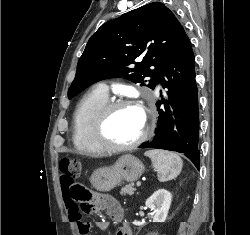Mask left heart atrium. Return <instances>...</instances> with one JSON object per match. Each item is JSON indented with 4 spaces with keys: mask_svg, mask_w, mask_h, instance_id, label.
Segmentation results:
<instances>
[{
    "mask_svg": "<svg viewBox=\"0 0 250 235\" xmlns=\"http://www.w3.org/2000/svg\"><path fill=\"white\" fill-rule=\"evenodd\" d=\"M139 110L143 113V111L141 109H139Z\"/></svg>",
    "mask_w": 250,
    "mask_h": 235,
    "instance_id": "left-heart-atrium-1",
    "label": "left heart atrium"
}]
</instances>
